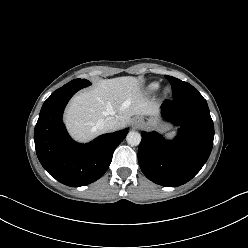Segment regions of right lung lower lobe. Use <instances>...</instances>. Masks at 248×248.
<instances>
[{"label": "right lung lower lobe", "mask_w": 248, "mask_h": 248, "mask_svg": "<svg viewBox=\"0 0 248 248\" xmlns=\"http://www.w3.org/2000/svg\"><path fill=\"white\" fill-rule=\"evenodd\" d=\"M80 86L61 87L44 102L34 131L37 157L44 169L59 182L79 187L98 180L107 171L116 147L128 129L99 136L79 144L68 135L62 115Z\"/></svg>", "instance_id": "98d812e1"}]
</instances>
